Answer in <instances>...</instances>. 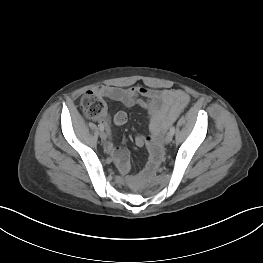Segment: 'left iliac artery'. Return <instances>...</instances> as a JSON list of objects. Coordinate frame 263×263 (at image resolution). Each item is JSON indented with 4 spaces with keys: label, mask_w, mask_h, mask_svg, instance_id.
<instances>
[{
    "label": "left iliac artery",
    "mask_w": 263,
    "mask_h": 263,
    "mask_svg": "<svg viewBox=\"0 0 263 263\" xmlns=\"http://www.w3.org/2000/svg\"><path fill=\"white\" fill-rule=\"evenodd\" d=\"M170 132H171L172 134L175 133V127H174V126H172V127L170 128Z\"/></svg>",
    "instance_id": "44dca946"
}]
</instances>
